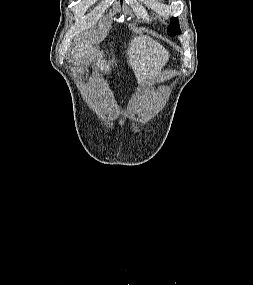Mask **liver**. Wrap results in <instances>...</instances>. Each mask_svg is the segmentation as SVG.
<instances>
[{
	"label": "liver",
	"instance_id": "obj_1",
	"mask_svg": "<svg viewBox=\"0 0 253 285\" xmlns=\"http://www.w3.org/2000/svg\"><path fill=\"white\" fill-rule=\"evenodd\" d=\"M96 54L98 56V62L96 63L98 69L100 68L101 71L109 73L111 64L115 61L114 58L107 63L103 59V51L97 52V49L93 48L91 44L79 43L72 53L75 59L85 56L89 58L90 62ZM127 56L128 64L132 67L139 84L156 76L169 60V52L159 42L145 35L136 36L131 40Z\"/></svg>",
	"mask_w": 253,
	"mask_h": 285
}]
</instances>
